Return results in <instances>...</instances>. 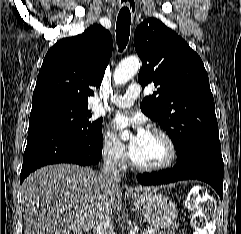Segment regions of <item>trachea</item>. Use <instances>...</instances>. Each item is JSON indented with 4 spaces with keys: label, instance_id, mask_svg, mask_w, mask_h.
I'll list each match as a JSON object with an SVG mask.
<instances>
[{
    "label": "trachea",
    "instance_id": "trachea-1",
    "mask_svg": "<svg viewBox=\"0 0 241 234\" xmlns=\"http://www.w3.org/2000/svg\"><path fill=\"white\" fill-rule=\"evenodd\" d=\"M131 13L128 7L121 8L116 23V39L119 51L122 52L128 43L130 35Z\"/></svg>",
    "mask_w": 241,
    "mask_h": 234
}]
</instances>
